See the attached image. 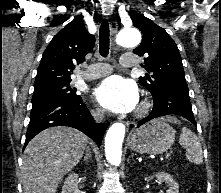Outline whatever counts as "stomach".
Returning a JSON list of instances; mask_svg holds the SVG:
<instances>
[{"mask_svg":"<svg viewBox=\"0 0 221 193\" xmlns=\"http://www.w3.org/2000/svg\"><path fill=\"white\" fill-rule=\"evenodd\" d=\"M174 141L175 130L164 119H155L131 134L129 147L137 153L162 154Z\"/></svg>","mask_w":221,"mask_h":193,"instance_id":"stomach-1","label":"stomach"}]
</instances>
